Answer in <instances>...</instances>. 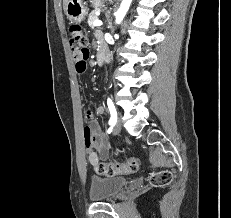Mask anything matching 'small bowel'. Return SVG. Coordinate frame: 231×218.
Returning <instances> with one entry per match:
<instances>
[{
    "label": "small bowel",
    "mask_w": 231,
    "mask_h": 218,
    "mask_svg": "<svg viewBox=\"0 0 231 218\" xmlns=\"http://www.w3.org/2000/svg\"><path fill=\"white\" fill-rule=\"evenodd\" d=\"M75 60L76 71L84 73L87 67V56H82L78 52L73 53ZM95 113L102 114L104 112L103 106H96ZM83 143L87 149V157L92 165H96L100 160H106L109 157V145L95 124H87L82 131Z\"/></svg>",
    "instance_id": "c3829d8e"
}]
</instances>
